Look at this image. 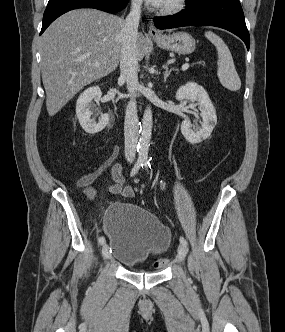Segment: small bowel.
Masks as SVG:
<instances>
[{
    "label": "small bowel",
    "instance_id": "c3829d8e",
    "mask_svg": "<svg viewBox=\"0 0 285 332\" xmlns=\"http://www.w3.org/2000/svg\"><path fill=\"white\" fill-rule=\"evenodd\" d=\"M99 171L92 172L80 177L76 184L78 187L83 188L88 198L93 199L96 195L95 189L92 187L93 182L99 176ZM111 175L114 183L108 184V189L113 194H121L126 197H131L134 193L130 186H124V178L122 176V166L119 163H115L111 167Z\"/></svg>",
    "mask_w": 285,
    "mask_h": 332
}]
</instances>
